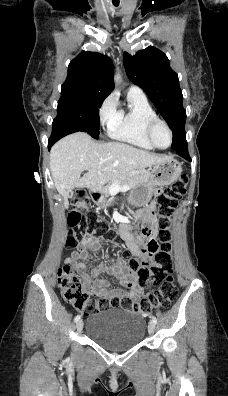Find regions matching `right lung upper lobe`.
I'll list each match as a JSON object with an SVG mask.
<instances>
[{
    "instance_id": "right-lung-upper-lobe-1",
    "label": "right lung upper lobe",
    "mask_w": 228,
    "mask_h": 396,
    "mask_svg": "<svg viewBox=\"0 0 228 396\" xmlns=\"http://www.w3.org/2000/svg\"><path fill=\"white\" fill-rule=\"evenodd\" d=\"M113 70L109 57L83 51L70 62L62 88L82 89L108 96L114 88Z\"/></svg>"
}]
</instances>
